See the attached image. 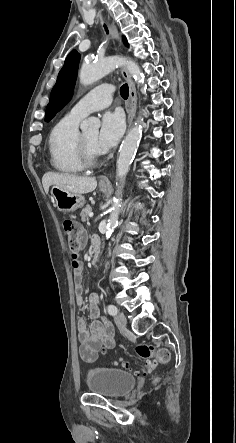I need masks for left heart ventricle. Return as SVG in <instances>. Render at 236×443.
<instances>
[{"label":"left heart ventricle","mask_w":236,"mask_h":443,"mask_svg":"<svg viewBox=\"0 0 236 443\" xmlns=\"http://www.w3.org/2000/svg\"><path fill=\"white\" fill-rule=\"evenodd\" d=\"M97 133L98 132H97L96 129H90V130H87V131L82 133L83 136H84V139H85V141L87 143V145L89 146V148L91 150L95 151V152H96V150H95V140H96V137H97Z\"/></svg>","instance_id":"left-heart-ventricle-1"}]
</instances>
